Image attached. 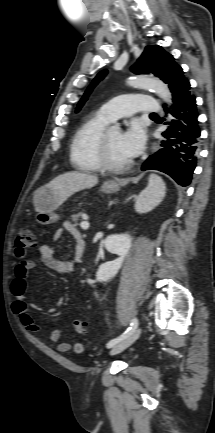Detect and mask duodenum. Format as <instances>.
<instances>
[{
	"label": "duodenum",
	"instance_id": "duodenum-1",
	"mask_svg": "<svg viewBox=\"0 0 215 433\" xmlns=\"http://www.w3.org/2000/svg\"><path fill=\"white\" fill-rule=\"evenodd\" d=\"M84 249H85V245L82 246V250H83V251H84Z\"/></svg>",
	"mask_w": 215,
	"mask_h": 433
}]
</instances>
